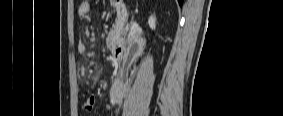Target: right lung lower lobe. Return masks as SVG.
<instances>
[{"label":"right lung lower lobe","instance_id":"obj_1","mask_svg":"<svg viewBox=\"0 0 283 116\" xmlns=\"http://www.w3.org/2000/svg\"><path fill=\"white\" fill-rule=\"evenodd\" d=\"M182 1H183V0H178V2H179L180 5H182Z\"/></svg>","mask_w":283,"mask_h":116}]
</instances>
